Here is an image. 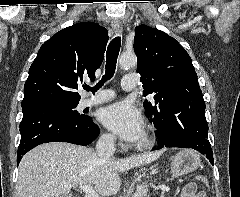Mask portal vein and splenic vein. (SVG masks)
<instances>
[{"mask_svg":"<svg viewBox=\"0 0 240 197\" xmlns=\"http://www.w3.org/2000/svg\"><path fill=\"white\" fill-rule=\"evenodd\" d=\"M79 189L82 190L86 194V197H100L99 194H97L93 190V188L90 184L79 185Z\"/></svg>","mask_w":240,"mask_h":197,"instance_id":"obj_1","label":"portal vein and splenic vein"}]
</instances>
